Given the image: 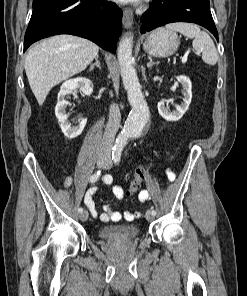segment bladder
Returning <instances> with one entry per match:
<instances>
[{
	"mask_svg": "<svg viewBox=\"0 0 247 296\" xmlns=\"http://www.w3.org/2000/svg\"><path fill=\"white\" fill-rule=\"evenodd\" d=\"M140 229L136 224L108 225L99 228L98 236L105 241L132 240L138 237Z\"/></svg>",
	"mask_w": 247,
	"mask_h": 296,
	"instance_id": "1",
	"label": "bladder"
}]
</instances>
